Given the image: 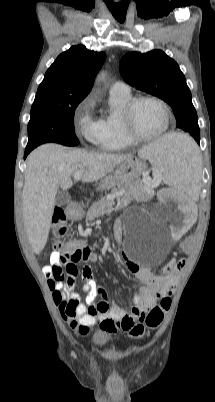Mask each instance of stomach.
Instances as JSON below:
<instances>
[{
  "mask_svg": "<svg viewBox=\"0 0 215 402\" xmlns=\"http://www.w3.org/2000/svg\"><path fill=\"white\" fill-rule=\"evenodd\" d=\"M145 169L146 165L142 159L129 157L102 180L99 188L110 189L131 184L139 179Z\"/></svg>",
  "mask_w": 215,
  "mask_h": 402,
  "instance_id": "1",
  "label": "stomach"
}]
</instances>
